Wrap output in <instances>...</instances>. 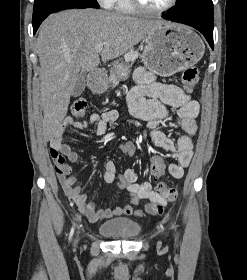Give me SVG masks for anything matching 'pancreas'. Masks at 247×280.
Listing matches in <instances>:
<instances>
[{"label":"pancreas","instance_id":"1","mask_svg":"<svg viewBox=\"0 0 247 280\" xmlns=\"http://www.w3.org/2000/svg\"><path fill=\"white\" fill-rule=\"evenodd\" d=\"M137 57H138V52L131 50L125 54L124 59H125V62H127V63L128 62L134 63L135 60L137 59ZM110 82H112L113 85H116L118 83V76L113 71H111Z\"/></svg>","mask_w":247,"mask_h":280}]
</instances>
